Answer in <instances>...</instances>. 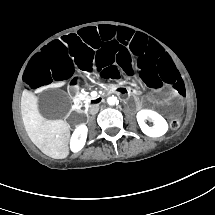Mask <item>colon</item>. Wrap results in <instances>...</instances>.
I'll list each match as a JSON object with an SVG mask.
<instances>
[{
	"label": "colon",
	"mask_w": 215,
	"mask_h": 215,
	"mask_svg": "<svg viewBox=\"0 0 215 215\" xmlns=\"http://www.w3.org/2000/svg\"><path fill=\"white\" fill-rule=\"evenodd\" d=\"M180 124H181V121H180L179 118H173V119L171 120V122H170V126H171V128H173V129L179 128Z\"/></svg>",
	"instance_id": "5ec220e1"
}]
</instances>
